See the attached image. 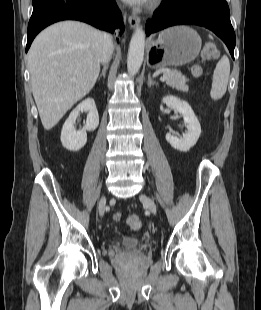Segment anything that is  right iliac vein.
<instances>
[{"label": "right iliac vein", "instance_id": "63e3f726", "mask_svg": "<svg viewBox=\"0 0 261 310\" xmlns=\"http://www.w3.org/2000/svg\"><path fill=\"white\" fill-rule=\"evenodd\" d=\"M105 206H106V198L105 196H102L98 204V211L100 216L104 215Z\"/></svg>", "mask_w": 261, "mask_h": 310}]
</instances>
